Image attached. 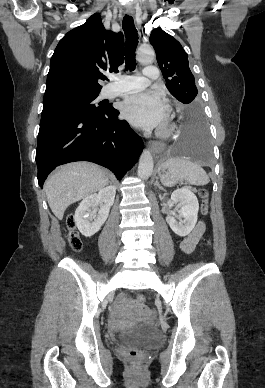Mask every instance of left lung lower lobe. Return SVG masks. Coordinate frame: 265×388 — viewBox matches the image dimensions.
Masks as SVG:
<instances>
[{"label": "left lung lower lobe", "instance_id": "left-lung-lower-lobe-1", "mask_svg": "<svg viewBox=\"0 0 265 388\" xmlns=\"http://www.w3.org/2000/svg\"><path fill=\"white\" fill-rule=\"evenodd\" d=\"M169 153L201 163L210 161L209 131L201 109L184 111L181 134L169 149Z\"/></svg>", "mask_w": 265, "mask_h": 388}]
</instances>
